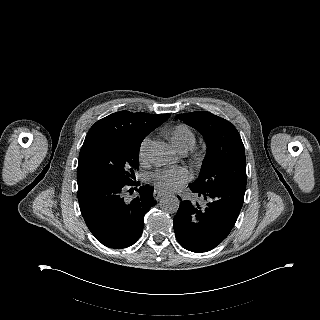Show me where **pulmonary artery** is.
<instances>
[{
	"label": "pulmonary artery",
	"mask_w": 320,
	"mask_h": 320,
	"mask_svg": "<svg viewBox=\"0 0 320 320\" xmlns=\"http://www.w3.org/2000/svg\"><path fill=\"white\" fill-rule=\"evenodd\" d=\"M177 151L182 155H184V154H186L188 152V150L184 149V148L177 149Z\"/></svg>",
	"instance_id": "e3ab8cb5"
}]
</instances>
